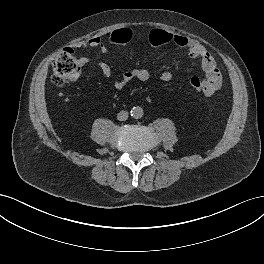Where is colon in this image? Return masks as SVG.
<instances>
[{
	"instance_id": "5ec220e1",
	"label": "colon",
	"mask_w": 264,
	"mask_h": 264,
	"mask_svg": "<svg viewBox=\"0 0 264 264\" xmlns=\"http://www.w3.org/2000/svg\"><path fill=\"white\" fill-rule=\"evenodd\" d=\"M131 40V32L128 28H120L114 30L108 38V42L111 45H125ZM170 32L154 28L149 33V42L153 47H160L170 43ZM81 74V65L79 61L74 57L73 50L71 48H64L61 50L52 63V75L51 80L54 84L61 86L65 83L75 81ZM189 85L193 90L203 92L207 91L208 85L205 80H202L196 76L191 77Z\"/></svg>"
}]
</instances>
